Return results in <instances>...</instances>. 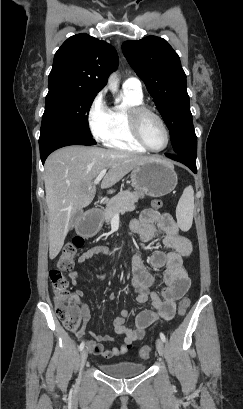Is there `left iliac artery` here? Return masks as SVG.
Here are the masks:
<instances>
[{"label":"left iliac artery","mask_w":243,"mask_h":409,"mask_svg":"<svg viewBox=\"0 0 243 409\" xmlns=\"http://www.w3.org/2000/svg\"><path fill=\"white\" fill-rule=\"evenodd\" d=\"M160 338H161V340L163 341V342H166V337H165V335L161 332L160 333Z\"/></svg>","instance_id":"obj_1"}]
</instances>
